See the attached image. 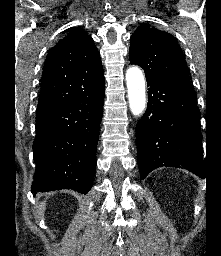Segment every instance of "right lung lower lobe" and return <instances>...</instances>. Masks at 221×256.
<instances>
[{
    "label": "right lung lower lobe",
    "mask_w": 221,
    "mask_h": 256,
    "mask_svg": "<svg viewBox=\"0 0 221 256\" xmlns=\"http://www.w3.org/2000/svg\"><path fill=\"white\" fill-rule=\"evenodd\" d=\"M103 102L104 88L37 113L32 193L91 189Z\"/></svg>",
    "instance_id": "right-lung-lower-lobe-1"
}]
</instances>
